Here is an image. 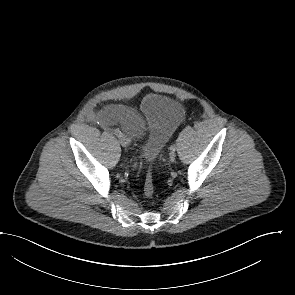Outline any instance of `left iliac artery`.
<instances>
[{
    "label": "left iliac artery",
    "mask_w": 295,
    "mask_h": 295,
    "mask_svg": "<svg viewBox=\"0 0 295 295\" xmlns=\"http://www.w3.org/2000/svg\"><path fill=\"white\" fill-rule=\"evenodd\" d=\"M169 149H170L171 151H175V150H176V146L173 144V145L170 146Z\"/></svg>",
    "instance_id": "obj_1"
}]
</instances>
